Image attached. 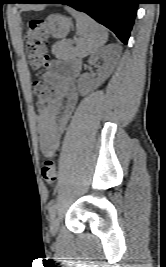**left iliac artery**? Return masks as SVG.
<instances>
[{
    "instance_id": "obj_1",
    "label": "left iliac artery",
    "mask_w": 166,
    "mask_h": 267,
    "mask_svg": "<svg viewBox=\"0 0 166 267\" xmlns=\"http://www.w3.org/2000/svg\"><path fill=\"white\" fill-rule=\"evenodd\" d=\"M57 204H53L50 208H49V215L50 217H54L57 211Z\"/></svg>"
}]
</instances>
